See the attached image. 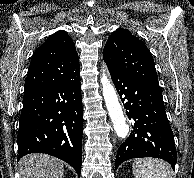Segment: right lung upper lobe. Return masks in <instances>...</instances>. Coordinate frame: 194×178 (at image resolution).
<instances>
[{"label": "right lung upper lobe", "mask_w": 194, "mask_h": 178, "mask_svg": "<svg viewBox=\"0 0 194 178\" xmlns=\"http://www.w3.org/2000/svg\"><path fill=\"white\" fill-rule=\"evenodd\" d=\"M79 71V58L74 42L66 31H57L34 52L24 93L70 82L80 76Z\"/></svg>", "instance_id": "1"}]
</instances>
